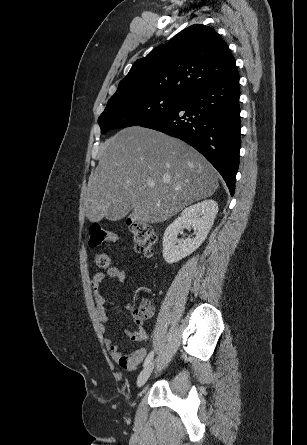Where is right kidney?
Here are the masks:
<instances>
[{
  "instance_id": "1",
  "label": "right kidney",
  "mask_w": 307,
  "mask_h": 445,
  "mask_svg": "<svg viewBox=\"0 0 307 445\" xmlns=\"http://www.w3.org/2000/svg\"><path fill=\"white\" fill-rule=\"evenodd\" d=\"M218 212L216 200H202L183 210L181 216L167 227L163 237V259L166 263H178L194 253L205 241ZM184 227L194 229L196 237L179 241L177 235ZM178 243V245H177Z\"/></svg>"
}]
</instances>
